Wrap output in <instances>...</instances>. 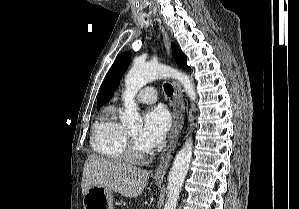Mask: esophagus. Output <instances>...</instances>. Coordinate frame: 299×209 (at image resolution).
<instances>
[{"label":"esophagus","mask_w":299,"mask_h":209,"mask_svg":"<svg viewBox=\"0 0 299 209\" xmlns=\"http://www.w3.org/2000/svg\"><path fill=\"white\" fill-rule=\"evenodd\" d=\"M159 28L163 35V42L166 49L168 57L171 58L172 51L170 47V38L168 33L165 31L164 27L159 23ZM173 100H172V116H173V126L168 136L167 146L162 150L159 163L154 172V179L163 180L166 174V171L170 165L173 153L177 146L181 130L184 123V112H185V103L183 98V91L181 89L180 83L178 81H173Z\"/></svg>","instance_id":"1"}]
</instances>
